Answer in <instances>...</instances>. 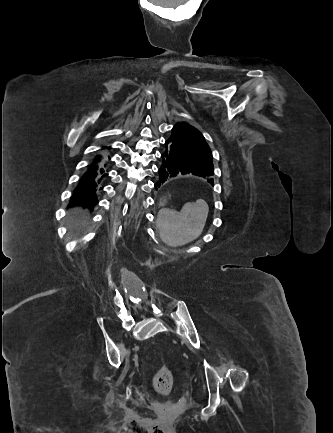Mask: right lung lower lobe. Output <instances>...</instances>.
<instances>
[{"label":"right lung lower lobe","mask_w":333,"mask_h":433,"mask_svg":"<svg viewBox=\"0 0 333 433\" xmlns=\"http://www.w3.org/2000/svg\"><path fill=\"white\" fill-rule=\"evenodd\" d=\"M107 149H109L107 147ZM107 155H97L83 174L75 188L71 201L76 205L93 208L98 203L97 192L103 188V179L108 175L106 168Z\"/></svg>","instance_id":"1"}]
</instances>
